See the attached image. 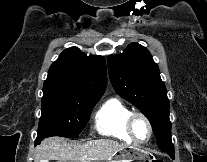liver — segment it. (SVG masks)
<instances>
[{"mask_svg":"<svg viewBox=\"0 0 207 162\" xmlns=\"http://www.w3.org/2000/svg\"><path fill=\"white\" fill-rule=\"evenodd\" d=\"M125 147H127L126 144L110 139L70 143L63 137H50L44 139L36 147L34 162H48L49 160H57L58 162L107 161Z\"/></svg>","mask_w":207,"mask_h":162,"instance_id":"liver-1","label":"liver"}]
</instances>
